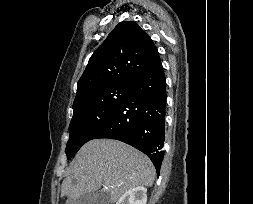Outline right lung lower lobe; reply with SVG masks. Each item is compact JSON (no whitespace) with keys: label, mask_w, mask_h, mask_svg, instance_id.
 Returning <instances> with one entry per match:
<instances>
[{"label":"right lung lower lobe","mask_w":253,"mask_h":204,"mask_svg":"<svg viewBox=\"0 0 253 204\" xmlns=\"http://www.w3.org/2000/svg\"><path fill=\"white\" fill-rule=\"evenodd\" d=\"M166 80L158 56L138 77L117 110L93 139L125 142L145 153L159 175L164 151Z\"/></svg>","instance_id":"98d812e1"}]
</instances>
